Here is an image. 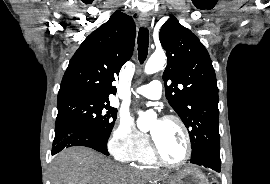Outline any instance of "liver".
<instances>
[{"instance_id": "6515ba94", "label": "liver", "mask_w": 270, "mask_h": 184, "mask_svg": "<svg viewBox=\"0 0 270 184\" xmlns=\"http://www.w3.org/2000/svg\"><path fill=\"white\" fill-rule=\"evenodd\" d=\"M52 184H144L153 176L131 171L86 147H70L55 156Z\"/></svg>"}]
</instances>
